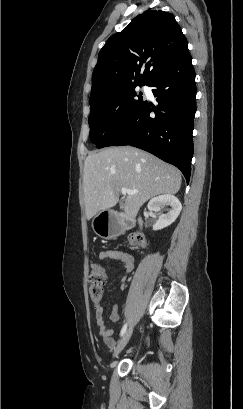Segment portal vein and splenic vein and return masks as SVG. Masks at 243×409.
Listing matches in <instances>:
<instances>
[{
    "label": "portal vein and splenic vein",
    "instance_id": "1",
    "mask_svg": "<svg viewBox=\"0 0 243 409\" xmlns=\"http://www.w3.org/2000/svg\"><path fill=\"white\" fill-rule=\"evenodd\" d=\"M121 193L122 195L126 196V195H134L138 193V190H129L127 188H122L121 189Z\"/></svg>",
    "mask_w": 243,
    "mask_h": 409
}]
</instances>
